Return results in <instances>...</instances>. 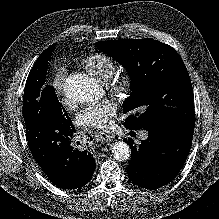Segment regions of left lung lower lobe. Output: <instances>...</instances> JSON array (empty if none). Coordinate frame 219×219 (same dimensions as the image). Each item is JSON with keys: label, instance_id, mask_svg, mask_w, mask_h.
<instances>
[{"label": "left lung lower lobe", "instance_id": "0a47b994", "mask_svg": "<svg viewBox=\"0 0 219 219\" xmlns=\"http://www.w3.org/2000/svg\"><path fill=\"white\" fill-rule=\"evenodd\" d=\"M148 132V139L141 140L139 146L130 138L124 139L132 151L127 174L136 185L157 189L170 183L182 169L191 149L194 125Z\"/></svg>", "mask_w": 219, "mask_h": 219}]
</instances>
